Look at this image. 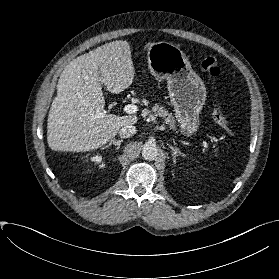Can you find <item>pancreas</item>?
<instances>
[{"mask_svg":"<svg viewBox=\"0 0 279 279\" xmlns=\"http://www.w3.org/2000/svg\"><path fill=\"white\" fill-rule=\"evenodd\" d=\"M152 113L155 116L164 118L165 122L169 124L171 129H176L175 120L173 119L172 114L169 113L165 107L155 104V106L152 108Z\"/></svg>","mask_w":279,"mask_h":279,"instance_id":"obj_1","label":"pancreas"}]
</instances>
